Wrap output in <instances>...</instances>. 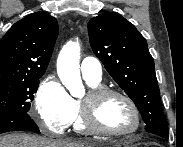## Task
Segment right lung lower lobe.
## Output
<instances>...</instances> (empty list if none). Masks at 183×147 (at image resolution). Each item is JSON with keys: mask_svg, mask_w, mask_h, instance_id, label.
<instances>
[{"mask_svg": "<svg viewBox=\"0 0 183 147\" xmlns=\"http://www.w3.org/2000/svg\"><path fill=\"white\" fill-rule=\"evenodd\" d=\"M23 130L39 132V128L27 113H11L0 116V134Z\"/></svg>", "mask_w": 183, "mask_h": 147, "instance_id": "obj_1", "label": "right lung lower lobe"}]
</instances>
